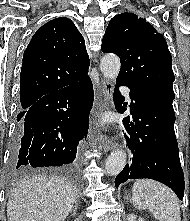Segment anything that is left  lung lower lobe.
I'll return each instance as SVG.
<instances>
[{
  "mask_svg": "<svg viewBox=\"0 0 190 221\" xmlns=\"http://www.w3.org/2000/svg\"><path fill=\"white\" fill-rule=\"evenodd\" d=\"M116 83V110L121 114L126 111L121 105L124 97L119 92V86H127L133 100L130 105L133 120L129 116L123 119L126 130L124 136L133 158L116 177V188L128 179L149 178L169 186L182 200L184 174L174 131L173 99L157 93L137 91L121 82Z\"/></svg>",
  "mask_w": 190,
  "mask_h": 221,
  "instance_id": "1",
  "label": "left lung lower lobe"
}]
</instances>
